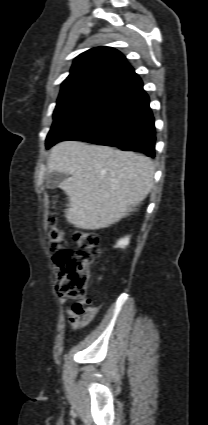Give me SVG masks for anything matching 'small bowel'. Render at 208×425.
I'll return each mask as SVG.
<instances>
[{"mask_svg": "<svg viewBox=\"0 0 208 425\" xmlns=\"http://www.w3.org/2000/svg\"><path fill=\"white\" fill-rule=\"evenodd\" d=\"M60 303L66 304L68 299L65 296H60ZM87 305L80 308L78 303H74L71 307L67 308L68 321L70 326L74 329H81L89 325L95 318L99 307L90 305V300L86 299Z\"/></svg>", "mask_w": 208, "mask_h": 425, "instance_id": "small-bowel-1", "label": "small bowel"}]
</instances>
